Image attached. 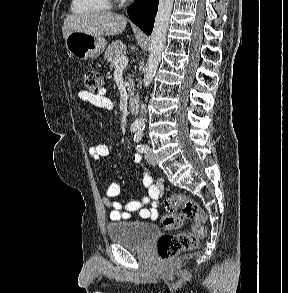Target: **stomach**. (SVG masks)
<instances>
[{
    "label": "stomach",
    "mask_w": 288,
    "mask_h": 293,
    "mask_svg": "<svg viewBox=\"0 0 288 293\" xmlns=\"http://www.w3.org/2000/svg\"><path fill=\"white\" fill-rule=\"evenodd\" d=\"M102 36H95L80 31H72L65 39L67 52L77 59L97 58L106 47Z\"/></svg>",
    "instance_id": "stomach-1"
}]
</instances>
